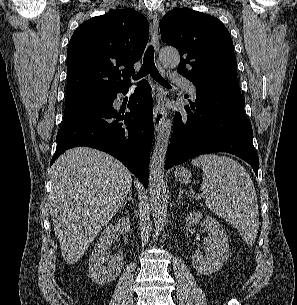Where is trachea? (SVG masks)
<instances>
[{"instance_id": "trachea-1", "label": "trachea", "mask_w": 297, "mask_h": 305, "mask_svg": "<svg viewBox=\"0 0 297 305\" xmlns=\"http://www.w3.org/2000/svg\"><path fill=\"white\" fill-rule=\"evenodd\" d=\"M150 74L151 77L156 80L159 84L165 87H171L170 84L159 74L155 63H154V48L149 46L145 52L143 65L137 75L134 76V79H140L143 76Z\"/></svg>"}]
</instances>
